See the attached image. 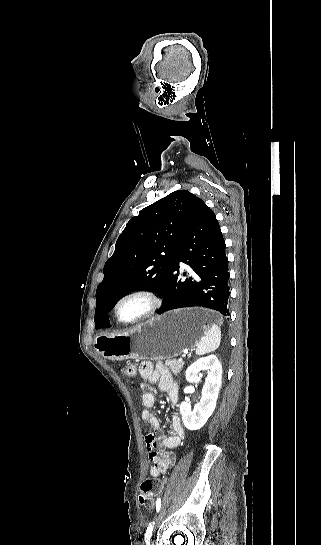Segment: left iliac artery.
Instances as JSON below:
<instances>
[{"label":"left iliac artery","mask_w":321,"mask_h":545,"mask_svg":"<svg viewBox=\"0 0 321 545\" xmlns=\"http://www.w3.org/2000/svg\"><path fill=\"white\" fill-rule=\"evenodd\" d=\"M160 507H161V500L159 499V500L157 501V503H156L157 512H159ZM154 524H155V523L152 522V523L148 526V528H147V530H146V533H145V541H146V544H147V545H150V539H151V536H152V531H153V525H154Z\"/></svg>","instance_id":"left-iliac-artery-1"}]
</instances>
